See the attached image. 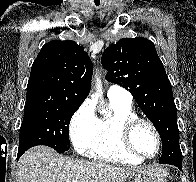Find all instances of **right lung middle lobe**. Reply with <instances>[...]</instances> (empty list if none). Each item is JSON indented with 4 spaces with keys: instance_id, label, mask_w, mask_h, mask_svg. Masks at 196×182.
I'll return each instance as SVG.
<instances>
[{
    "instance_id": "1",
    "label": "right lung middle lobe",
    "mask_w": 196,
    "mask_h": 182,
    "mask_svg": "<svg viewBox=\"0 0 196 182\" xmlns=\"http://www.w3.org/2000/svg\"><path fill=\"white\" fill-rule=\"evenodd\" d=\"M78 106H41L24 108L18 154L36 145H47L58 153L69 150L68 127Z\"/></svg>"
}]
</instances>
